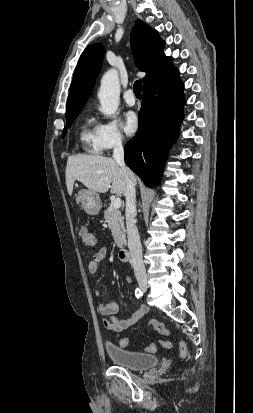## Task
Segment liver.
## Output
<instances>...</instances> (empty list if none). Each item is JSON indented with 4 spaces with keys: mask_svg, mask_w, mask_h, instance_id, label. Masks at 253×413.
Wrapping results in <instances>:
<instances>
[{
    "mask_svg": "<svg viewBox=\"0 0 253 413\" xmlns=\"http://www.w3.org/2000/svg\"><path fill=\"white\" fill-rule=\"evenodd\" d=\"M65 176L69 195H72L76 180L97 193H106L110 189L112 194L125 195L127 188L121 166L114 159L99 155L70 156ZM130 177L136 185L137 179L133 172Z\"/></svg>",
    "mask_w": 253,
    "mask_h": 413,
    "instance_id": "6515ba94",
    "label": "liver"
}]
</instances>
